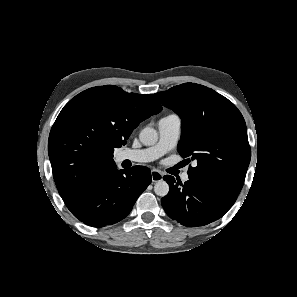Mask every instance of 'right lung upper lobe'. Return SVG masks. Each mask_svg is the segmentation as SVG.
<instances>
[{"label": "right lung upper lobe", "mask_w": 297, "mask_h": 297, "mask_svg": "<svg viewBox=\"0 0 297 297\" xmlns=\"http://www.w3.org/2000/svg\"><path fill=\"white\" fill-rule=\"evenodd\" d=\"M162 106L152 94L127 93L113 85L89 88L72 98L52 126L48 154L67 207L95 181L116 169L114 148Z\"/></svg>", "instance_id": "cb5924a9"}]
</instances>
